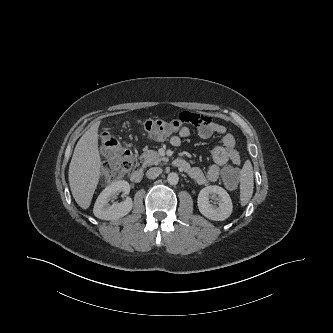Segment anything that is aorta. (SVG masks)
<instances>
[{
    "label": "aorta",
    "mask_w": 333,
    "mask_h": 333,
    "mask_svg": "<svg viewBox=\"0 0 333 333\" xmlns=\"http://www.w3.org/2000/svg\"><path fill=\"white\" fill-rule=\"evenodd\" d=\"M167 181L170 185H176L179 182V177L177 173H169L167 177Z\"/></svg>",
    "instance_id": "762f6f07"
}]
</instances>
